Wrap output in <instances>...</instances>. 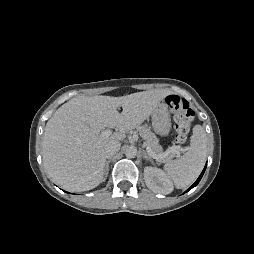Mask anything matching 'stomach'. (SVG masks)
<instances>
[{
    "label": "stomach",
    "mask_w": 254,
    "mask_h": 254,
    "mask_svg": "<svg viewBox=\"0 0 254 254\" xmlns=\"http://www.w3.org/2000/svg\"><path fill=\"white\" fill-rule=\"evenodd\" d=\"M152 126L154 131L161 136L169 134L171 129V118L167 104H159L152 113Z\"/></svg>",
    "instance_id": "obj_1"
}]
</instances>
